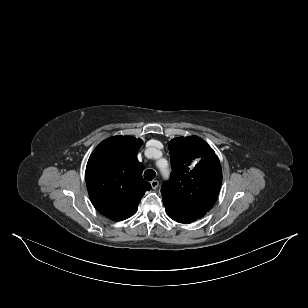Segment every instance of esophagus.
Segmentation results:
<instances>
[{
    "label": "esophagus",
    "mask_w": 308,
    "mask_h": 308,
    "mask_svg": "<svg viewBox=\"0 0 308 308\" xmlns=\"http://www.w3.org/2000/svg\"><path fill=\"white\" fill-rule=\"evenodd\" d=\"M151 187L152 189H156L159 186V182L157 180L151 181Z\"/></svg>",
    "instance_id": "34e87169"
}]
</instances>
